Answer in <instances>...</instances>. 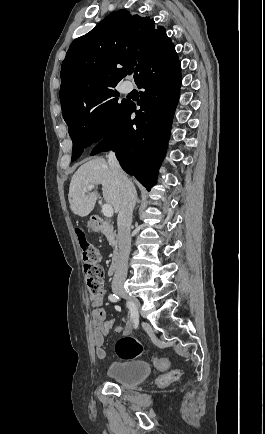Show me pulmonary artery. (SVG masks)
<instances>
[{
    "label": "pulmonary artery",
    "instance_id": "1",
    "mask_svg": "<svg viewBox=\"0 0 265 434\" xmlns=\"http://www.w3.org/2000/svg\"><path fill=\"white\" fill-rule=\"evenodd\" d=\"M123 92H124V93H128V92H129V88H128V87H124V88H123Z\"/></svg>",
    "mask_w": 265,
    "mask_h": 434
}]
</instances>
